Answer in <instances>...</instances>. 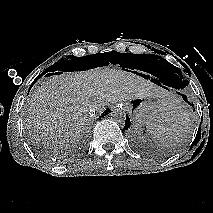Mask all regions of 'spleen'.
Returning a JSON list of instances; mask_svg holds the SVG:
<instances>
[{"mask_svg": "<svg viewBox=\"0 0 213 213\" xmlns=\"http://www.w3.org/2000/svg\"><path fill=\"white\" fill-rule=\"evenodd\" d=\"M188 121L189 111L177 101H172L157 114L155 123L148 125L147 130L153 135L157 144L168 147L180 139Z\"/></svg>", "mask_w": 213, "mask_h": 213, "instance_id": "spleen-1", "label": "spleen"}]
</instances>
